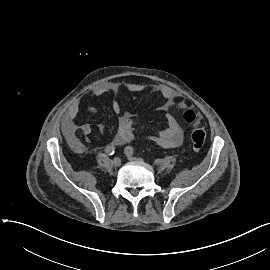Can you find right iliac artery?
<instances>
[{"label": "right iliac artery", "mask_w": 270, "mask_h": 270, "mask_svg": "<svg viewBox=\"0 0 270 270\" xmlns=\"http://www.w3.org/2000/svg\"><path fill=\"white\" fill-rule=\"evenodd\" d=\"M105 152L108 154V155H113L114 152H115V146L114 145H108L105 149Z\"/></svg>", "instance_id": "obj_1"}]
</instances>
